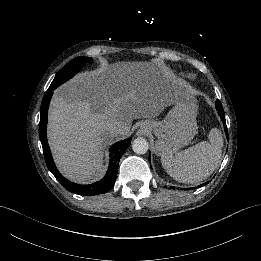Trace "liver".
Here are the masks:
<instances>
[{
  "mask_svg": "<svg viewBox=\"0 0 261 261\" xmlns=\"http://www.w3.org/2000/svg\"><path fill=\"white\" fill-rule=\"evenodd\" d=\"M180 81L142 64L81 73L55 91L49 109V140L61 170L79 182L100 178L103 149L117 121L129 134L134 119L157 118L172 105Z\"/></svg>",
  "mask_w": 261,
  "mask_h": 261,
  "instance_id": "6515ba94",
  "label": "liver"
}]
</instances>
